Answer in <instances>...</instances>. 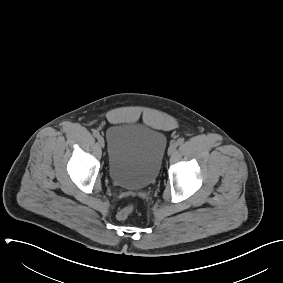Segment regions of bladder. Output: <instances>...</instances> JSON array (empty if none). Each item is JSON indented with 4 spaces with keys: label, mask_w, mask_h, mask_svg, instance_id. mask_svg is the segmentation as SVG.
Masks as SVG:
<instances>
[{
    "label": "bladder",
    "mask_w": 283,
    "mask_h": 283,
    "mask_svg": "<svg viewBox=\"0 0 283 283\" xmlns=\"http://www.w3.org/2000/svg\"><path fill=\"white\" fill-rule=\"evenodd\" d=\"M108 173L119 187L141 190L157 178L167 146L165 134L131 123L111 126L106 133Z\"/></svg>",
    "instance_id": "bladder-1"
}]
</instances>
